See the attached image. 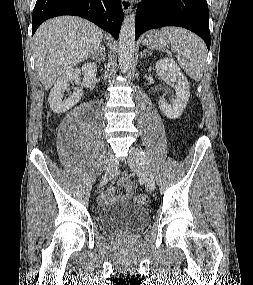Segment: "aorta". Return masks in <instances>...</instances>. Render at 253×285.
Returning <instances> with one entry per match:
<instances>
[{
    "label": "aorta",
    "instance_id": "aorta-1",
    "mask_svg": "<svg viewBox=\"0 0 253 285\" xmlns=\"http://www.w3.org/2000/svg\"><path fill=\"white\" fill-rule=\"evenodd\" d=\"M135 12L127 15L121 25L119 33L118 57L122 71H127L135 52Z\"/></svg>",
    "mask_w": 253,
    "mask_h": 285
}]
</instances>
